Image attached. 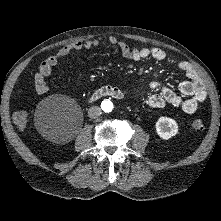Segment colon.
Wrapping results in <instances>:
<instances>
[{"label": "colon", "mask_w": 221, "mask_h": 221, "mask_svg": "<svg viewBox=\"0 0 221 221\" xmlns=\"http://www.w3.org/2000/svg\"><path fill=\"white\" fill-rule=\"evenodd\" d=\"M14 123L20 129H23L27 125L28 114L24 111H18L13 116ZM204 122L201 119H196L191 123V128L195 132H201L204 130Z\"/></svg>", "instance_id": "colon-1"}]
</instances>
